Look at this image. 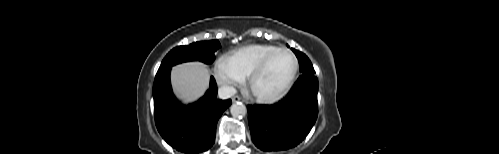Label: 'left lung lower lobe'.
Returning a JSON list of instances; mask_svg holds the SVG:
<instances>
[{
  "label": "left lung lower lobe",
  "instance_id": "0a47b994",
  "mask_svg": "<svg viewBox=\"0 0 499 154\" xmlns=\"http://www.w3.org/2000/svg\"><path fill=\"white\" fill-rule=\"evenodd\" d=\"M317 93V77L302 74L281 102L248 106V123L255 146L262 151H281L304 140L317 119Z\"/></svg>",
  "mask_w": 499,
  "mask_h": 154
}]
</instances>
